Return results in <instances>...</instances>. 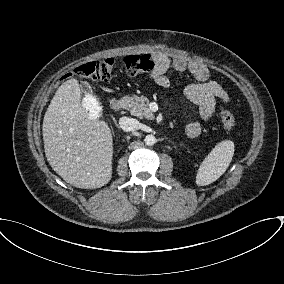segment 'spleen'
I'll return each instance as SVG.
<instances>
[{
    "mask_svg": "<svg viewBox=\"0 0 284 284\" xmlns=\"http://www.w3.org/2000/svg\"><path fill=\"white\" fill-rule=\"evenodd\" d=\"M234 154V143L224 140L218 143L201 163L196 184L205 186L216 181L228 168Z\"/></svg>",
    "mask_w": 284,
    "mask_h": 284,
    "instance_id": "spleen-1",
    "label": "spleen"
}]
</instances>
